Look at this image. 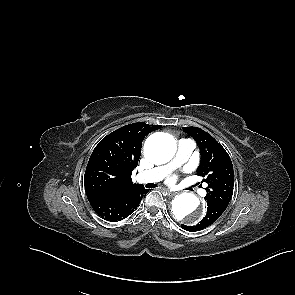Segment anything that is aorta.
Masks as SVG:
<instances>
[{
  "label": "aorta",
  "instance_id": "obj_1",
  "mask_svg": "<svg viewBox=\"0 0 295 295\" xmlns=\"http://www.w3.org/2000/svg\"><path fill=\"white\" fill-rule=\"evenodd\" d=\"M175 152V140L166 133H154L147 138L144 144L145 156L156 164L170 161ZM199 205L200 201L194 194L185 192L174 197L171 212L176 220L195 225L202 219V214L197 211Z\"/></svg>",
  "mask_w": 295,
  "mask_h": 295
}]
</instances>
